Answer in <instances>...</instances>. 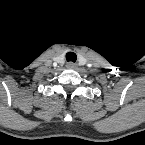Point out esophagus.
I'll return each instance as SVG.
<instances>
[{"mask_svg":"<svg viewBox=\"0 0 145 145\" xmlns=\"http://www.w3.org/2000/svg\"><path fill=\"white\" fill-rule=\"evenodd\" d=\"M66 66L68 69H75L77 67V65L73 62H68Z\"/></svg>","mask_w":145,"mask_h":145,"instance_id":"obj_1","label":"esophagus"}]
</instances>
